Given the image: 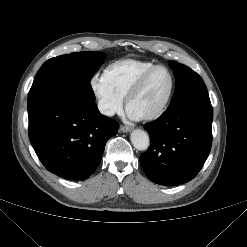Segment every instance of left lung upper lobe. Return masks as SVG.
Segmentation results:
<instances>
[{
    "instance_id": "obj_1",
    "label": "left lung upper lobe",
    "mask_w": 247,
    "mask_h": 247,
    "mask_svg": "<svg viewBox=\"0 0 247 247\" xmlns=\"http://www.w3.org/2000/svg\"><path fill=\"white\" fill-rule=\"evenodd\" d=\"M175 76V92L170 107L184 102L209 98L202 78L189 67L175 61L169 62Z\"/></svg>"
}]
</instances>
